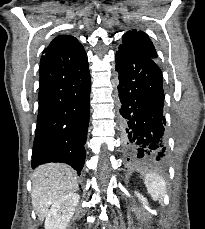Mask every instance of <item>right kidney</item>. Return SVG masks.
<instances>
[{
    "label": "right kidney",
    "instance_id": "right-kidney-1",
    "mask_svg": "<svg viewBox=\"0 0 205 229\" xmlns=\"http://www.w3.org/2000/svg\"><path fill=\"white\" fill-rule=\"evenodd\" d=\"M79 198L78 194L71 193L54 202L47 213L45 229H66Z\"/></svg>",
    "mask_w": 205,
    "mask_h": 229
}]
</instances>
